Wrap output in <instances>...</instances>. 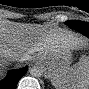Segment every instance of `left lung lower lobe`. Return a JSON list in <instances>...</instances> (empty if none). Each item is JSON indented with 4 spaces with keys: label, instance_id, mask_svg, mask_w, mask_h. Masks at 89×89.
Returning a JSON list of instances; mask_svg holds the SVG:
<instances>
[{
    "label": "left lung lower lobe",
    "instance_id": "obj_1",
    "mask_svg": "<svg viewBox=\"0 0 89 89\" xmlns=\"http://www.w3.org/2000/svg\"><path fill=\"white\" fill-rule=\"evenodd\" d=\"M76 30L89 37V30L87 28H78Z\"/></svg>",
    "mask_w": 89,
    "mask_h": 89
}]
</instances>
